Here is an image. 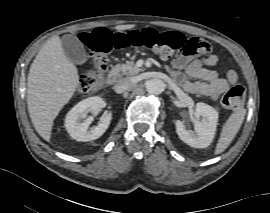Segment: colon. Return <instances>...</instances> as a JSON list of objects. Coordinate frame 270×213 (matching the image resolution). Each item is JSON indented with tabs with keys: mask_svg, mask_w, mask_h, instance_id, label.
I'll use <instances>...</instances> for the list:
<instances>
[{
	"mask_svg": "<svg viewBox=\"0 0 270 213\" xmlns=\"http://www.w3.org/2000/svg\"><path fill=\"white\" fill-rule=\"evenodd\" d=\"M81 41L87 48L91 60V64L79 77V88L82 92H94L103 88L104 77L109 69L108 52L114 48L145 46L160 57H169L176 52L195 56L206 48L204 41L199 38H186L177 32L157 31L152 28L112 34L106 28L100 27L90 33H84ZM226 78L234 82L237 74L228 71ZM243 98V86L234 85L223 95L221 105L225 109H238L242 105Z\"/></svg>",
	"mask_w": 270,
	"mask_h": 213,
	"instance_id": "5ec220e1",
	"label": "colon"
}]
</instances>
